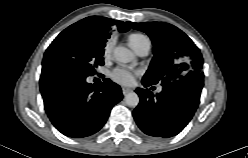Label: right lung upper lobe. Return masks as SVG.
I'll list each match as a JSON object with an SVG mask.
<instances>
[{
  "label": "right lung upper lobe",
  "mask_w": 248,
  "mask_h": 158,
  "mask_svg": "<svg viewBox=\"0 0 248 158\" xmlns=\"http://www.w3.org/2000/svg\"><path fill=\"white\" fill-rule=\"evenodd\" d=\"M114 25H117L121 32H125L129 29L122 21L116 22L112 19L100 16H90L73 24V26L79 28L87 38L100 44L106 43L110 37L109 31Z\"/></svg>",
  "instance_id": "1"
}]
</instances>
